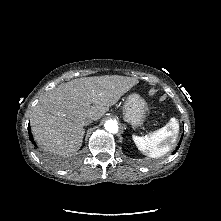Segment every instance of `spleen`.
Instances as JSON below:
<instances>
[{
    "label": "spleen",
    "instance_id": "obj_1",
    "mask_svg": "<svg viewBox=\"0 0 221 221\" xmlns=\"http://www.w3.org/2000/svg\"><path fill=\"white\" fill-rule=\"evenodd\" d=\"M179 123L178 120L173 117L162 128L154 131L149 136L140 137L133 136V140L137 148L144 154L151 158H157L165 155L178 137Z\"/></svg>",
    "mask_w": 221,
    "mask_h": 221
}]
</instances>
